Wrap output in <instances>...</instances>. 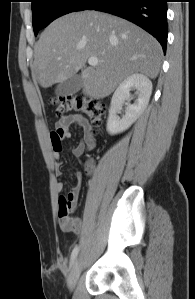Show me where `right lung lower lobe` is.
I'll return each instance as SVG.
<instances>
[{"label": "right lung lower lobe", "mask_w": 195, "mask_h": 299, "mask_svg": "<svg viewBox=\"0 0 195 299\" xmlns=\"http://www.w3.org/2000/svg\"><path fill=\"white\" fill-rule=\"evenodd\" d=\"M167 0H92L84 10L107 12L140 26L166 51L168 23Z\"/></svg>", "instance_id": "1"}]
</instances>
